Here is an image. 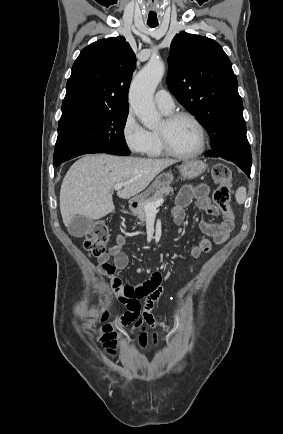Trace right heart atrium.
<instances>
[{
    "label": "right heart atrium",
    "mask_w": 283,
    "mask_h": 434,
    "mask_svg": "<svg viewBox=\"0 0 283 434\" xmlns=\"http://www.w3.org/2000/svg\"><path fill=\"white\" fill-rule=\"evenodd\" d=\"M121 134L125 145L132 153H145L149 143V131L141 125L131 109L125 115Z\"/></svg>",
    "instance_id": "obj_1"
}]
</instances>
